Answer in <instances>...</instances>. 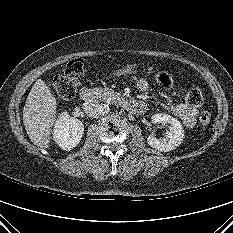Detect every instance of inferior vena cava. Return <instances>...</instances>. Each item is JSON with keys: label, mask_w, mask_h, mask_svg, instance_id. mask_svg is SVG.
<instances>
[{"label": "inferior vena cava", "mask_w": 233, "mask_h": 233, "mask_svg": "<svg viewBox=\"0 0 233 233\" xmlns=\"http://www.w3.org/2000/svg\"><path fill=\"white\" fill-rule=\"evenodd\" d=\"M103 105L99 104L97 100H89L83 104L84 112L91 118H96L102 114Z\"/></svg>", "instance_id": "obj_1"}]
</instances>
